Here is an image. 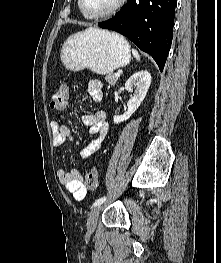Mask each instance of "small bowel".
Here are the masks:
<instances>
[{
  "mask_svg": "<svg viewBox=\"0 0 221 263\" xmlns=\"http://www.w3.org/2000/svg\"><path fill=\"white\" fill-rule=\"evenodd\" d=\"M103 86L98 80H92L87 85V93L95 102H100L103 98ZM84 124L89 128V133L96 137L90 141L82 150L81 156L88 158L94 154L101 146L102 141L106 137L109 126L106 121L104 112L98 111L83 116ZM53 133V145L59 147L65 142H72L74 137L70 129L63 124L53 122L51 124ZM57 176L60 183L72 194L75 201H82L86 195V189L82 183V175L77 169L65 171L63 168L58 169Z\"/></svg>",
  "mask_w": 221,
  "mask_h": 263,
  "instance_id": "1",
  "label": "small bowel"
}]
</instances>
